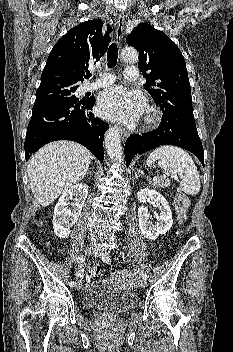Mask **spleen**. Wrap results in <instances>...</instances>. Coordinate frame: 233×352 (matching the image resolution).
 I'll return each mask as SVG.
<instances>
[{"mask_svg":"<svg viewBox=\"0 0 233 352\" xmlns=\"http://www.w3.org/2000/svg\"><path fill=\"white\" fill-rule=\"evenodd\" d=\"M156 161L159 167L179 175L180 187L186 194L195 195L200 191L201 182L197 167L185 150L171 145L160 146L151 152L146 163L150 167Z\"/></svg>","mask_w":233,"mask_h":352,"instance_id":"obj_1","label":"spleen"}]
</instances>
